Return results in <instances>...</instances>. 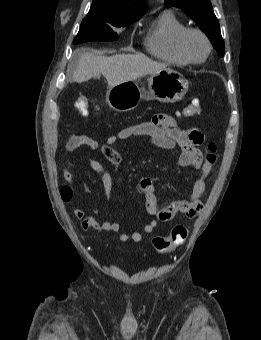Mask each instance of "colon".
<instances>
[{
  "instance_id": "obj_1",
  "label": "colon",
  "mask_w": 261,
  "mask_h": 340,
  "mask_svg": "<svg viewBox=\"0 0 261 340\" xmlns=\"http://www.w3.org/2000/svg\"><path fill=\"white\" fill-rule=\"evenodd\" d=\"M76 107L79 113L83 116L88 114V103L80 99ZM200 111V102L198 99L192 101V103L186 106L182 110V115L186 117L194 116ZM209 154L207 155V161L212 165L216 161V145L214 143H210L209 146ZM61 196L64 201H69L72 197V191L68 187H63L61 189ZM188 236V231L186 227L183 225H175L172 227L168 235L165 236H155L152 239V246L158 253H167L176 247L182 245Z\"/></svg>"
}]
</instances>
